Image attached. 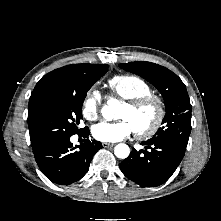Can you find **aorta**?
I'll return each mask as SVG.
<instances>
[{
  "mask_svg": "<svg viewBox=\"0 0 221 221\" xmlns=\"http://www.w3.org/2000/svg\"><path fill=\"white\" fill-rule=\"evenodd\" d=\"M119 106L117 99L111 98L107 101V104L103 106L101 112L106 120H112L115 117V111ZM114 153L118 158L125 159L130 154L128 145L124 143L117 144L114 149Z\"/></svg>",
  "mask_w": 221,
  "mask_h": 221,
  "instance_id": "1",
  "label": "aorta"
}]
</instances>
